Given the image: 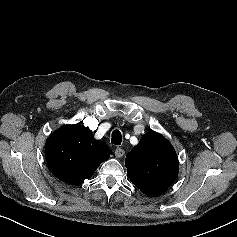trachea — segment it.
I'll use <instances>...</instances> for the list:
<instances>
[{
  "label": "trachea",
  "mask_w": 237,
  "mask_h": 237,
  "mask_svg": "<svg viewBox=\"0 0 237 237\" xmlns=\"http://www.w3.org/2000/svg\"><path fill=\"white\" fill-rule=\"evenodd\" d=\"M122 135L119 130H114L112 132L111 143L114 145H121Z\"/></svg>",
  "instance_id": "3493384b"
}]
</instances>
